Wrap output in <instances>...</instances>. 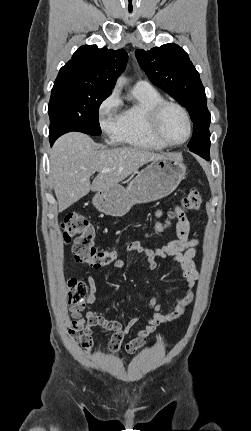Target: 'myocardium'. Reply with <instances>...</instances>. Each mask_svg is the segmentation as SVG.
I'll use <instances>...</instances> for the list:
<instances>
[{
	"instance_id": "f54148a6",
	"label": "myocardium",
	"mask_w": 251,
	"mask_h": 431,
	"mask_svg": "<svg viewBox=\"0 0 251 431\" xmlns=\"http://www.w3.org/2000/svg\"><path fill=\"white\" fill-rule=\"evenodd\" d=\"M172 106L177 108L178 110H180L185 118L186 121V126H187V133L186 136L184 137V139H182L179 142H170L168 140H166L161 131H160V118L161 115L163 113V111L165 110V108ZM148 128L150 130V133L152 134V136L158 141L160 142L162 145L166 146V147H177V146H181L184 143H186L192 133V123H191V118L190 115L187 111V109L180 103L176 102V101H172V100H165L162 99L159 102H157L156 104H154L149 112H148Z\"/></svg>"
}]
</instances>
